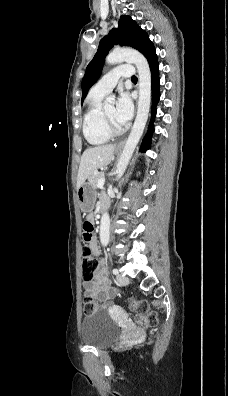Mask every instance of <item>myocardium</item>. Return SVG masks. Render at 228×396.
I'll use <instances>...</instances> for the list:
<instances>
[{
  "mask_svg": "<svg viewBox=\"0 0 228 396\" xmlns=\"http://www.w3.org/2000/svg\"><path fill=\"white\" fill-rule=\"evenodd\" d=\"M102 120H103V125L105 128L106 133L111 136H120L125 132L124 127H116L114 126L111 121L108 119L107 115L105 114L104 110H102Z\"/></svg>",
  "mask_w": 228,
  "mask_h": 396,
  "instance_id": "obj_1",
  "label": "myocardium"
}]
</instances>
